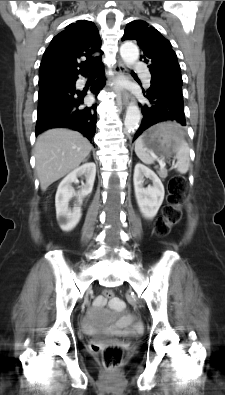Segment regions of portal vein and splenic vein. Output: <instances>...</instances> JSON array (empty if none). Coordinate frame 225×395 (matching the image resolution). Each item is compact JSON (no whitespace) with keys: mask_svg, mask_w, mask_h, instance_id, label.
<instances>
[{"mask_svg":"<svg viewBox=\"0 0 225 395\" xmlns=\"http://www.w3.org/2000/svg\"><path fill=\"white\" fill-rule=\"evenodd\" d=\"M157 161L161 168H164L166 166V163L162 159H157Z\"/></svg>","mask_w":225,"mask_h":395,"instance_id":"1","label":"portal vein and splenic vein"}]
</instances>
